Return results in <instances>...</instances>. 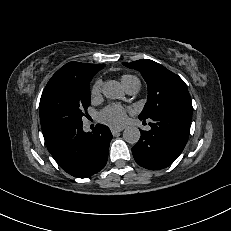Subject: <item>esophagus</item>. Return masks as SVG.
I'll return each instance as SVG.
<instances>
[{"mask_svg":"<svg viewBox=\"0 0 231 231\" xmlns=\"http://www.w3.org/2000/svg\"><path fill=\"white\" fill-rule=\"evenodd\" d=\"M122 130L123 128H111V132L114 136L120 133Z\"/></svg>","mask_w":231,"mask_h":231,"instance_id":"obj_1","label":"esophagus"}]
</instances>
